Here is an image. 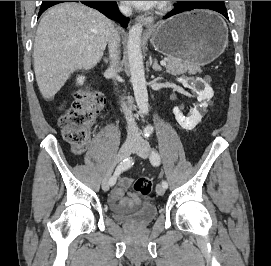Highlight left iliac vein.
I'll return each mask as SVG.
<instances>
[{"instance_id": "4c4485c4", "label": "left iliac vein", "mask_w": 271, "mask_h": 266, "mask_svg": "<svg viewBox=\"0 0 271 266\" xmlns=\"http://www.w3.org/2000/svg\"><path fill=\"white\" fill-rule=\"evenodd\" d=\"M134 153L144 159H147L149 157L150 148L146 143H139L135 148ZM156 193L160 196L164 195L165 188L162 185L158 184L156 186Z\"/></svg>"}]
</instances>
